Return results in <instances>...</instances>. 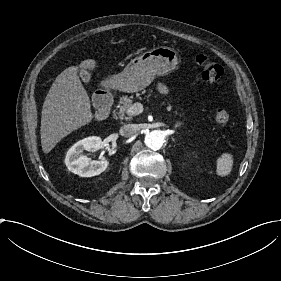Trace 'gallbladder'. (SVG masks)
Wrapping results in <instances>:
<instances>
[{"label": "gallbladder", "mask_w": 281, "mask_h": 281, "mask_svg": "<svg viewBox=\"0 0 281 281\" xmlns=\"http://www.w3.org/2000/svg\"><path fill=\"white\" fill-rule=\"evenodd\" d=\"M80 76H81L83 82H89V80L91 78V75L86 71L81 72Z\"/></svg>", "instance_id": "obj_1"}]
</instances>
